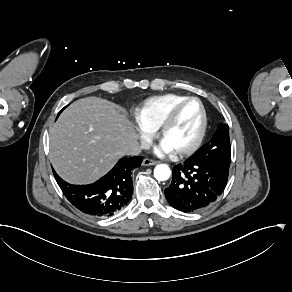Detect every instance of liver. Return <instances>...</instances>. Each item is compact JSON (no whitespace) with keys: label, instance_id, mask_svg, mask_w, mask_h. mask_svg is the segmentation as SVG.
I'll list each match as a JSON object with an SVG mask.
<instances>
[{"label":"liver","instance_id":"liver-1","mask_svg":"<svg viewBox=\"0 0 292 292\" xmlns=\"http://www.w3.org/2000/svg\"><path fill=\"white\" fill-rule=\"evenodd\" d=\"M50 161L71 184H90L139 147L134 125L114 103L86 97L73 102L49 128Z\"/></svg>","mask_w":292,"mask_h":292}]
</instances>
